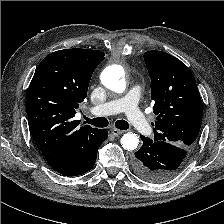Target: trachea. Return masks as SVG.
<instances>
[{
    "label": "trachea",
    "mask_w": 224,
    "mask_h": 224,
    "mask_svg": "<svg viewBox=\"0 0 224 224\" xmlns=\"http://www.w3.org/2000/svg\"><path fill=\"white\" fill-rule=\"evenodd\" d=\"M85 123H89L91 125H94L96 127H107L109 122L105 117H97L94 119H89L85 117ZM116 128L120 130H127L129 128V124L125 120H118L115 123Z\"/></svg>",
    "instance_id": "obj_1"
}]
</instances>
